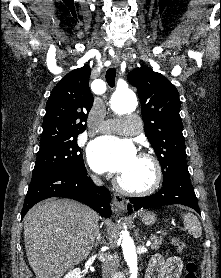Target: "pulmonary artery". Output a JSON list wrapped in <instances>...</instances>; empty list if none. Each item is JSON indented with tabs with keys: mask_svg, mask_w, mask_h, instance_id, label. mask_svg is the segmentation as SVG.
<instances>
[{
	"mask_svg": "<svg viewBox=\"0 0 221 278\" xmlns=\"http://www.w3.org/2000/svg\"><path fill=\"white\" fill-rule=\"evenodd\" d=\"M141 129V122L137 117L127 116L124 119L106 121L100 130L122 135H135L139 134Z\"/></svg>",
	"mask_w": 221,
	"mask_h": 278,
	"instance_id": "pulmonary-artery-1",
	"label": "pulmonary artery"
}]
</instances>
